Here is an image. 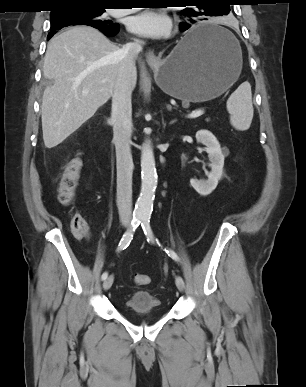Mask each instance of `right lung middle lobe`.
<instances>
[{
  "instance_id": "right-lung-middle-lobe-1",
  "label": "right lung middle lobe",
  "mask_w": 306,
  "mask_h": 387,
  "mask_svg": "<svg viewBox=\"0 0 306 387\" xmlns=\"http://www.w3.org/2000/svg\"><path fill=\"white\" fill-rule=\"evenodd\" d=\"M105 12L104 7L98 6H73L62 8L59 12H51V31L60 30L70 25H89L97 29L117 27V23H111L101 19ZM53 35V34H52Z\"/></svg>"
}]
</instances>
